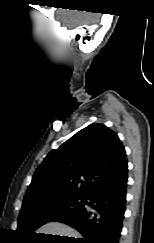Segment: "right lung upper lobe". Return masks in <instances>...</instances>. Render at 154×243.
<instances>
[{
  "mask_svg": "<svg viewBox=\"0 0 154 243\" xmlns=\"http://www.w3.org/2000/svg\"><path fill=\"white\" fill-rule=\"evenodd\" d=\"M127 166L117 134L91 124L51 151L36 169L23 206L62 195H86Z\"/></svg>",
  "mask_w": 154,
  "mask_h": 243,
  "instance_id": "cb5924a9",
  "label": "right lung upper lobe"
}]
</instances>
